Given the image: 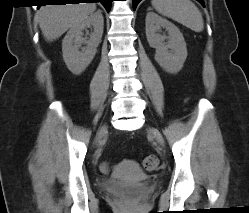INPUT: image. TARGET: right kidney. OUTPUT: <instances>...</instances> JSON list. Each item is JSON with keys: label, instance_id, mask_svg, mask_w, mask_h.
Masks as SVG:
<instances>
[{"label": "right kidney", "instance_id": "1", "mask_svg": "<svg viewBox=\"0 0 249 213\" xmlns=\"http://www.w3.org/2000/svg\"><path fill=\"white\" fill-rule=\"evenodd\" d=\"M93 27L89 39L83 38V31ZM104 19L100 10L91 14L70 28L62 41L63 59L68 69L75 75L81 74L91 63L101 42ZM82 44L85 47L79 50Z\"/></svg>", "mask_w": 249, "mask_h": 213}]
</instances>
